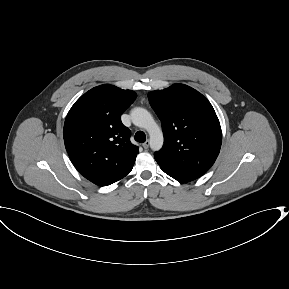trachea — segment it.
Returning a JSON list of instances; mask_svg holds the SVG:
<instances>
[{
	"label": "trachea",
	"mask_w": 289,
	"mask_h": 289,
	"mask_svg": "<svg viewBox=\"0 0 289 289\" xmlns=\"http://www.w3.org/2000/svg\"><path fill=\"white\" fill-rule=\"evenodd\" d=\"M134 138L139 143H143L146 141V135L143 131H137Z\"/></svg>",
	"instance_id": "1"
}]
</instances>
